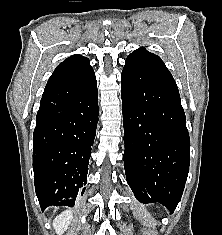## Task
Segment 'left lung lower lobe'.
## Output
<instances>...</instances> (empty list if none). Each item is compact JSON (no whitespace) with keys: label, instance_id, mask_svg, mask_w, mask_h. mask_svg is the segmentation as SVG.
<instances>
[{"label":"left lung lower lobe","instance_id":"obj_1","mask_svg":"<svg viewBox=\"0 0 222 235\" xmlns=\"http://www.w3.org/2000/svg\"><path fill=\"white\" fill-rule=\"evenodd\" d=\"M121 97L127 182L139 202H159L173 213L190 163L189 134L176 82L158 67L126 59Z\"/></svg>","mask_w":222,"mask_h":235}]
</instances>
